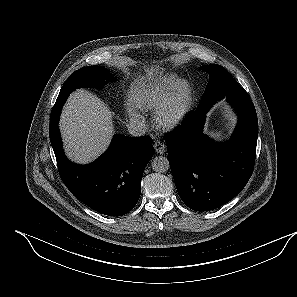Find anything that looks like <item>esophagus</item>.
<instances>
[{"label":"esophagus","mask_w":297,"mask_h":297,"mask_svg":"<svg viewBox=\"0 0 297 297\" xmlns=\"http://www.w3.org/2000/svg\"><path fill=\"white\" fill-rule=\"evenodd\" d=\"M155 152L163 154L165 152V145L161 141H155L153 144Z\"/></svg>","instance_id":"obj_1"}]
</instances>
